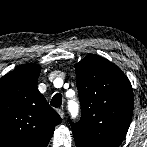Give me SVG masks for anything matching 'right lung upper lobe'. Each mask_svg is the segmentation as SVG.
I'll use <instances>...</instances> for the list:
<instances>
[{
    "mask_svg": "<svg viewBox=\"0 0 147 147\" xmlns=\"http://www.w3.org/2000/svg\"><path fill=\"white\" fill-rule=\"evenodd\" d=\"M40 70L25 64L0 80V147H47L61 123L37 88Z\"/></svg>",
    "mask_w": 147,
    "mask_h": 147,
    "instance_id": "right-lung-upper-lobe-1",
    "label": "right lung upper lobe"
}]
</instances>
